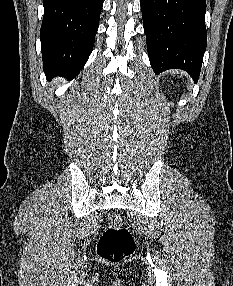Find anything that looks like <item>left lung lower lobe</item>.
<instances>
[{
  "label": "left lung lower lobe",
  "mask_w": 233,
  "mask_h": 286,
  "mask_svg": "<svg viewBox=\"0 0 233 286\" xmlns=\"http://www.w3.org/2000/svg\"><path fill=\"white\" fill-rule=\"evenodd\" d=\"M155 74L185 70L197 82L206 50V0H140Z\"/></svg>",
  "instance_id": "1"
}]
</instances>
